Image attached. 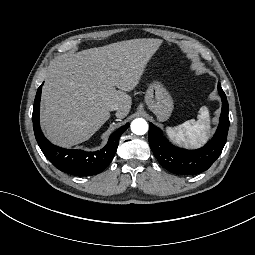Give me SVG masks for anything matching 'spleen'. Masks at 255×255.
<instances>
[{"mask_svg": "<svg viewBox=\"0 0 255 255\" xmlns=\"http://www.w3.org/2000/svg\"><path fill=\"white\" fill-rule=\"evenodd\" d=\"M207 107L200 108L199 121L189 120L176 127H167L168 137L176 144L185 147H199L208 138L206 132L210 128Z\"/></svg>", "mask_w": 255, "mask_h": 255, "instance_id": "spleen-1", "label": "spleen"}]
</instances>
